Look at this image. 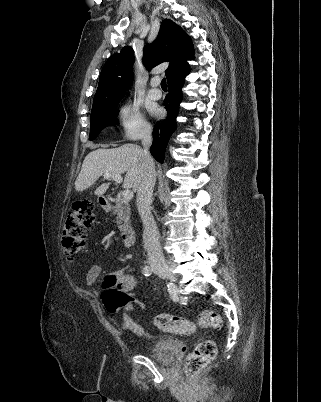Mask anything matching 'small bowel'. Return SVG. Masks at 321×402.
Instances as JSON below:
<instances>
[{
	"label": "small bowel",
	"instance_id": "small-bowel-1",
	"mask_svg": "<svg viewBox=\"0 0 321 402\" xmlns=\"http://www.w3.org/2000/svg\"><path fill=\"white\" fill-rule=\"evenodd\" d=\"M99 272V267H94L90 270L87 275V282L93 283L97 279ZM115 285L124 291H132L136 287V279L132 275L127 274L125 270H116L103 281L104 288H110ZM132 313L133 303H129L126 306L122 317L118 319L121 328L138 337L148 336L149 334L145 328L133 320Z\"/></svg>",
	"mask_w": 321,
	"mask_h": 402
}]
</instances>
